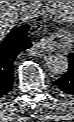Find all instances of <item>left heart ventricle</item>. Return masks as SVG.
<instances>
[{"label":"left heart ventricle","mask_w":74,"mask_h":122,"mask_svg":"<svg viewBox=\"0 0 74 122\" xmlns=\"http://www.w3.org/2000/svg\"><path fill=\"white\" fill-rule=\"evenodd\" d=\"M71 2L72 1H60L59 2L60 8L62 9L63 12H66L72 6Z\"/></svg>","instance_id":"obj_1"}]
</instances>
